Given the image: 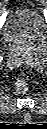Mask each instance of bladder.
Returning <instances> with one entry per match:
<instances>
[{
  "instance_id": "bladder-1",
  "label": "bladder",
  "mask_w": 47,
  "mask_h": 129,
  "mask_svg": "<svg viewBox=\"0 0 47 129\" xmlns=\"http://www.w3.org/2000/svg\"><path fill=\"white\" fill-rule=\"evenodd\" d=\"M43 15L36 9L24 7L14 10L4 25V39L12 44L40 41L45 34Z\"/></svg>"
}]
</instances>
